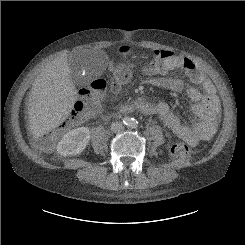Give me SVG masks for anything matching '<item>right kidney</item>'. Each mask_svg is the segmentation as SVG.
<instances>
[{
	"label": "right kidney",
	"instance_id": "right-kidney-1",
	"mask_svg": "<svg viewBox=\"0 0 245 245\" xmlns=\"http://www.w3.org/2000/svg\"><path fill=\"white\" fill-rule=\"evenodd\" d=\"M90 140V131L87 127H79L66 133L58 142L57 151L62 156L80 154Z\"/></svg>",
	"mask_w": 245,
	"mask_h": 245
}]
</instances>
